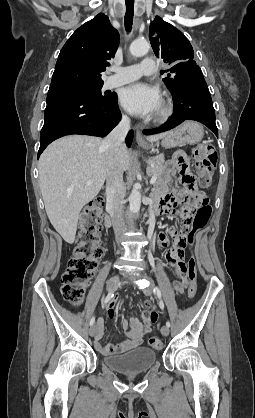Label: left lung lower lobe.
I'll use <instances>...</instances> for the list:
<instances>
[{"mask_svg":"<svg viewBox=\"0 0 255 418\" xmlns=\"http://www.w3.org/2000/svg\"><path fill=\"white\" fill-rule=\"evenodd\" d=\"M172 95L174 102L173 115L161 127L144 130V134L152 135L164 132L185 120H195L206 125L218 137L215 111L203 76L193 78L182 84Z\"/></svg>","mask_w":255,"mask_h":418,"instance_id":"0a47b994","label":"left lung lower lobe"}]
</instances>
